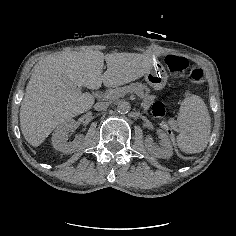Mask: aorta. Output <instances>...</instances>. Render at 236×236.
Returning <instances> with one entry per match:
<instances>
[{
  "label": "aorta",
  "mask_w": 236,
  "mask_h": 236,
  "mask_svg": "<svg viewBox=\"0 0 236 236\" xmlns=\"http://www.w3.org/2000/svg\"><path fill=\"white\" fill-rule=\"evenodd\" d=\"M130 109H131V105L127 101H121L117 105V111L120 114H126V113H128L130 111Z\"/></svg>",
  "instance_id": "1"
}]
</instances>
